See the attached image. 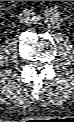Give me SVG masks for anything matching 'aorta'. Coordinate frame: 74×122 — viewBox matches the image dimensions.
<instances>
[{
    "label": "aorta",
    "mask_w": 74,
    "mask_h": 122,
    "mask_svg": "<svg viewBox=\"0 0 74 122\" xmlns=\"http://www.w3.org/2000/svg\"><path fill=\"white\" fill-rule=\"evenodd\" d=\"M46 21L50 23H54L56 21V18L50 14H46Z\"/></svg>",
    "instance_id": "762f6f07"
}]
</instances>
